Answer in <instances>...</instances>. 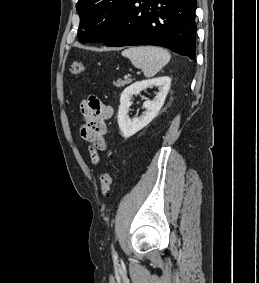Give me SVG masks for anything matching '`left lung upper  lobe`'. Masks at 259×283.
I'll use <instances>...</instances> for the list:
<instances>
[{
	"instance_id": "obj_1",
	"label": "left lung upper lobe",
	"mask_w": 259,
	"mask_h": 283,
	"mask_svg": "<svg viewBox=\"0 0 259 283\" xmlns=\"http://www.w3.org/2000/svg\"><path fill=\"white\" fill-rule=\"evenodd\" d=\"M132 0H78L80 16L78 39L100 43L108 39L121 23Z\"/></svg>"
}]
</instances>
